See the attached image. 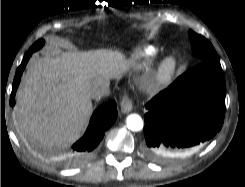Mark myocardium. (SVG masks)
Listing matches in <instances>:
<instances>
[{"label":"myocardium","mask_w":245,"mask_h":187,"mask_svg":"<svg viewBox=\"0 0 245 187\" xmlns=\"http://www.w3.org/2000/svg\"><path fill=\"white\" fill-rule=\"evenodd\" d=\"M176 68V61L173 58L167 59L161 66L157 84L164 85L171 81Z\"/></svg>","instance_id":"myocardium-1"}]
</instances>
